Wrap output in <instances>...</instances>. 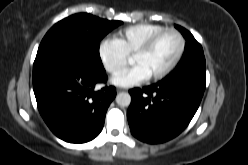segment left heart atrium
Segmentation results:
<instances>
[{
  "mask_svg": "<svg viewBox=\"0 0 248 165\" xmlns=\"http://www.w3.org/2000/svg\"><path fill=\"white\" fill-rule=\"evenodd\" d=\"M150 78L146 69L139 64L133 65L117 73L112 82L115 85L129 87L140 84Z\"/></svg>",
  "mask_w": 248,
  "mask_h": 165,
  "instance_id": "left-heart-atrium-1",
  "label": "left heart atrium"
}]
</instances>
